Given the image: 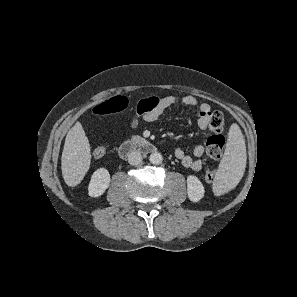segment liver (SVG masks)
I'll use <instances>...</instances> for the list:
<instances>
[{
    "instance_id": "1",
    "label": "liver",
    "mask_w": 297,
    "mask_h": 297,
    "mask_svg": "<svg viewBox=\"0 0 297 297\" xmlns=\"http://www.w3.org/2000/svg\"><path fill=\"white\" fill-rule=\"evenodd\" d=\"M91 149L80 122L69 130L61 157V169L65 183L74 187L80 184L90 167Z\"/></svg>"
}]
</instances>
